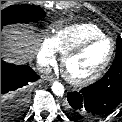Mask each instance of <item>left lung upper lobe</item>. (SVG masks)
Wrapping results in <instances>:
<instances>
[{"label":"left lung upper lobe","mask_w":122,"mask_h":122,"mask_svg":"<svg viewBox=\"0 0 122 122\" xmlns=\"http://www.w3.org/2000/svg\"><path fill=\"white\" fill-rule=\"evenodd\" d=\"M122 62V39L120 36L117 37L116 55L113 63Z\"/></svg>","instance_id":"1"}]
</instances>
